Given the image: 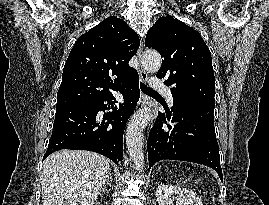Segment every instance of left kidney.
I'll return each mask as SVG.
<instances>
[{
    "mask_svg": "<svg viewBox=\"0 0 269 205\" xmlns=\"http://www.w3.org/2000/svg\"><path fill=\"white\" fill-rule=\"evenodd\" d=\"M176 197V205H203L201 199L192 191L179 186L160 184L156 190L159 205H172V198Z\"/></svg>",
    "mask_w": 269,
    "mask_h": 205,
    "instance_id": "left-kidney-1",
    "label": "left kidney"
}]
</instances>
